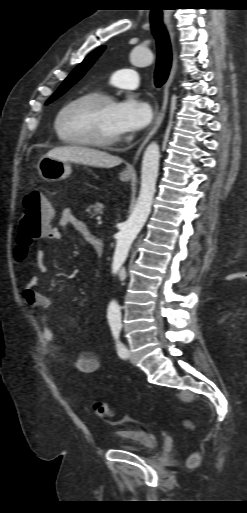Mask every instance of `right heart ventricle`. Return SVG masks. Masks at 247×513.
<instances>
[{
  "label": "right heart ventricle",
  "instance_id": "obj_1",
  "mask_svg": "<svg viewBox=\"0 0 247 513\" xmlns=\"http://www.w3.org/2000/svg\"><path fill=\"white\" fill-rule=\"evenodd\" d=\"M63 141L68 142L67 139L60 137Z\"/></svg>",
  "mask_w": 247,
  "mask_h": 513
}]
</instances>
